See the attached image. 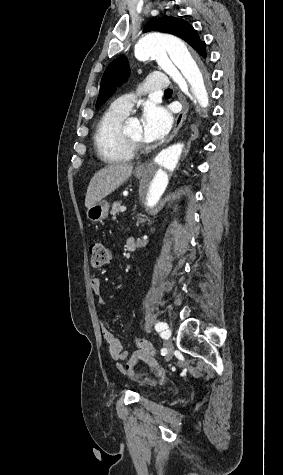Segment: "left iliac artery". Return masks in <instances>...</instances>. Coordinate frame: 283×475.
<instances>
[{
  "mask_svg": "<svg viewBox=\"0 0 283 475\" xmlns=\"http://www.w3.org/2000/svg\"><path fill=\"white\" fill-rule=\"evenodd\" d=\"M168 328V325L166 323H163V322H159L155 325V329L156 331L160 332L162 330H166ZM164 336V335H163ZM165 337V336H164Z\"/></svg>",
  "mask_w": 283,
  "mask_h": 475,
  "instance_id": "44dca946",
  "label": "left iliac artery"
}]
</instances>
